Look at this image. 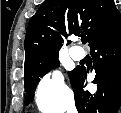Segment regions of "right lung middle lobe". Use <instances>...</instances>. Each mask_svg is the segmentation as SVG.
Returning <instances> with one entry per match:
<instances>
[{"instance_id": "obj_1", "label": "right lung middle lobe", "mask_w": 121, "mask_h": 113, "mask_svg": "<svg viewBox=\"0 0 121 113\" xmlns=\"http://www.w3.org/2000/svg\"><path fill=\"white\" fill-rule=\"evenodd\" d=\"M58 65V55H55L45 58L33 66L25 69L24 86L27 98L33 97L35 88L40 81V78L51 69L58 67ZM70 74L71 72H69V76Z\"/></svg>"}]
</instances>
